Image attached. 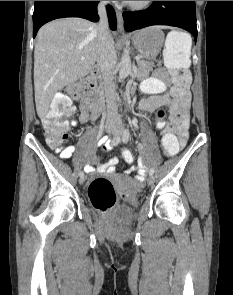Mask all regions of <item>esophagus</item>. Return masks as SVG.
Instances as JSON below:
<instances>
[{"mask_svg": "<svg viewBox=\"0 0 233 295\" xmlns=\"http://www.w3.org/2000/svg\"><path fill=\"white\" fill-rule=\"evenodd\" d=\"M116 17H117V25H118V29L120 31H123L124 29V21H123V15L122 12L119 10H116Z\"/></svg>", "mask_w": 233, "mask_h": 295, "instance_id": "1", "label": "esophagus"}]
</instances>
